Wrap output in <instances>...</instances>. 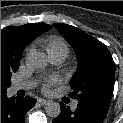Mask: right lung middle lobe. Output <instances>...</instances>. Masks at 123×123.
Here are the masks:
<instances>
[{
  "mask_svg": "<svg viewBox=\"0 0 123 123\" xmlns=\"http://www.w3.org/2000/svg\"><path fill=\"white\" fill-rule=\"evenodd\" d=\"M15 71H17V69H10L5 66H1V95L6 94L7 87L11 84V74Z\"/></svg>",
  "mask_w": 123,
  "mask_h": 123,
  "instance_id": "1",
  "label": "right lung middle lobe"
}]
</instances>
